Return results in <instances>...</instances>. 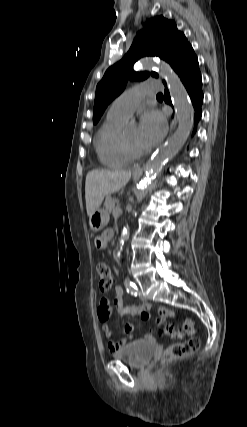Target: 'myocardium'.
Returning a JSON list of instances; mask_svg holds the SVG:
<instances>
[{"instance_id": "myocardium-1", "label": "myocardium", "mask_w": 247, "mask_h": 427, "mask_svg": "<svg viewBox=\"0 0 247 427\" xmlns=\"http://www.w3.org/2000/svg\"><path fill=\"white\" fill-rule=\"evenodd\" d=\"M121 146L124 154L127 156L129 160H137L142 158L145 154V150H135L133 149L129 143L127 142L125 135H121Z\"/></svg>"}]
</instances>
